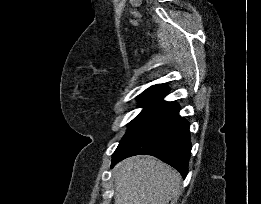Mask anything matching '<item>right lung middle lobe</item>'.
Masks as SVG:
<instances>
[{
  "label": "right lung middle lobe",
  "mask_w": 261,
  "mask_h": 204,
  "mask_svg": "<svg viewBox=\"0 0 261 204\" xmlns=\"http://www.w3.org/2000/svg\"><path fill=\"white\" fill-rule=\"evenodd\" d=\"M163 97L164 95L158 94H141L139 96V106L144 107V109L137 117H135L129 123V128L124 137L130 134L138 125H140L154 110H156L164 102L162 100Z\"/></svg>",
  "instance_id": "right-lung-middle-lobe-1"
}]
</instances>
